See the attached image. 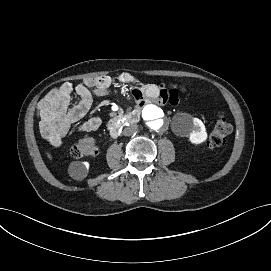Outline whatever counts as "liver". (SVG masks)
I'll list each match as a JSON object with an SVG mask.
<instances>
[{"label":"liver","mask_w":271,"mask_h":271,"mask_svg":"<svg viewBox=\"0 0 271 271\" xmlns=\"http://www.w3.org/2000/svg\"><path fill=\"white\" fill-rule=\"evenodd\" d=\"M47 156L50 160L52 159V156L49 153H47Z\"/></svg>","instance_id":"6515ba94"}]
</instances>
